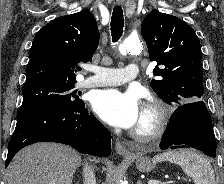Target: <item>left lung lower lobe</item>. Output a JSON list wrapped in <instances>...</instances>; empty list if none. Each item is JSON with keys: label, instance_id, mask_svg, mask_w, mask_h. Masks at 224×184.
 <instances>
[{"label": "left lung lower lobe", "instance_id": "left-lung-lower-lobe-1", "mask_svg": "<svg viewBox=\"0 0 224 184\" xmlns=\"http://www.w3.org/2000/svg\"><path fill=\"white\" fill-rule=\"evenodd\" d=\"M159 146L163 150L191 147L214 158L217 144L205 103L198 100L179 105Z\"/></svg>", "mask_w": 224, "mask_h": 184}]
</instances>
